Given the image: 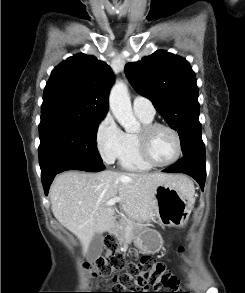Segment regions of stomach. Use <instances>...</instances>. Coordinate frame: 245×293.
<instances>
[{
  "label": "stomach",
  "mask_w": 245,
  "mask_h": 293,
  "mask_svg": "<svg viewBox=\"0 0 245 293\" xmlns=\"http://www.w3.org/2000/svg\"><path fill=\"white\" fill-rule=\"evenodd\" d=\"M154 200L155 215L163 226L184 225L193 208L192 198L172 184L159 185ZM133 242L141 252L153 254L160 250L163 240L159 232L147 228L136 234Z\"/></svg>",
  "instance_id": "1"
}]
</instances>
